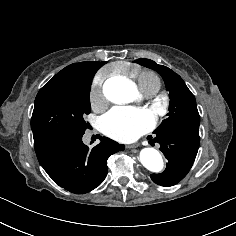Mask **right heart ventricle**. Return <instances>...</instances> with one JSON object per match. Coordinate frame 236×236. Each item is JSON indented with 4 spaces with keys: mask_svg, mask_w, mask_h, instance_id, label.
Masks as SVG:
<instances>
[{
    "mask_svg": "<svg viewBox=\"0 0 236 236\" xmlns=\"http://www.w3.org/2000/svg\"><path fill=\"white\" fill-rule=\"evenodd\" d=\"M126 80L136 85L142 94H154L160 87L159 78L151 71H134L126 76Z\"/></svg>",
    "mask_w": 236,
    "mask_h": 236,
    "instance_id": "e07e8e85",
    "label": "right heart ventricle"
}]
</instances>
